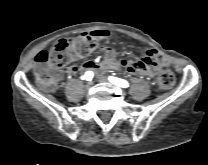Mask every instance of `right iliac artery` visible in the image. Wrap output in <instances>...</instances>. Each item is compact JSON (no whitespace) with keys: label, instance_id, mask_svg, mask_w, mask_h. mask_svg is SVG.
I'll use <instances>...</instances> for the list:
<instances>
[{"label":"right iliac artery","instance_id":"1","mask_svg":"<svg viewBox=\"0 0 208 165\" xmlns=\"http://www.w3.org/2000/svg\"><path fill=\"white\" fill-rule=\"evenodd\" d=\"M87 81H91L93 78V72L88 71L85 73V76H83Z\"/></svg>","mask_w":208,"mask_h":165}]
</instances>
